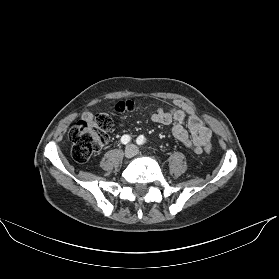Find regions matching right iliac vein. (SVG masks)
<instances>
[{"label": "right iliac vein", "instance_id": "right-iliac-vein-1", "mask_svg": "<svg viewBox=\"0 0 279 279\" xmlns=\"http://www.w3.org/2000/svg\"><path fill=\"white\" fill-rule=\"evenodd\" d=\"M135 146L133 145H128L126 148H125V151H124V157L129 159V158H132L135 154Z\"/></svg>", "mask_w": 279, "mask_h": 279}]
</instances>
